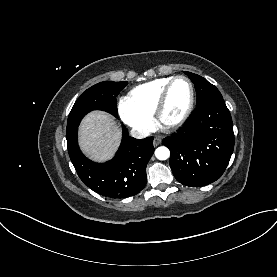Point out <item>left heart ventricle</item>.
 I'll list each match as a JSON object with an SVG mask.
<instances>
[{
    "label": "left heart ventricle",
    "instance_id": "b2bd125f",
    "mask_svg": "<svg viewBox=\"0 0 277 277\" xmlns=\"http://www.w3.org/2000/svg\"><path fill=\"white\" fill-rule=\"evenodd\" d=\"M190 98V89L184 80H178L172 86L168 101L163 113L166 122L178 119L185 111Z\"/></svg>",
    "mask_w": 277,
    "mask_h": 277
}]
</instances>
